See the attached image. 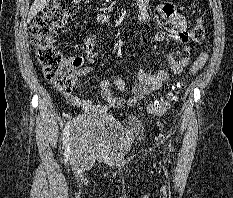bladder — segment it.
<instances>
[{
	"label": "bladder",
	"instance_id": "31cf9c89",
	"mask_svg": "<svg viewBox=\"0 0 233 198\" xmlns=\"http://www.w3.org/2000/svg\"><path fill=\"white\" fill-rule=\"evenodd\" d=\"M143 135V127L135 121L120 122L106 113H82L72 120L71 142L84 153L124 155Z\"/></svg>",
	"mask_w": 233,
	"mask_h": 198
}]
</instances>
